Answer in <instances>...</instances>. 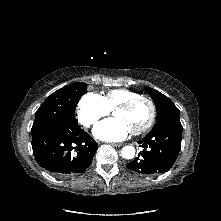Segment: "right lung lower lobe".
<instances>
[{"label": "right lung lower lobe", "instance_id": "1", "mask_svg": "<svg viewBox=\"0 0 221 221\" xmlns=\"http://www.w3.org/2000/svg\"><path fill=\"white\" fill-rule=\"evenodd\" d=\"M97 146L94 139L78 124L52 122L32 133V149L36 161L58 176L86 170Z\"/></svg>", "mask_w": 221, "mask_h": 221}]
</instances>
